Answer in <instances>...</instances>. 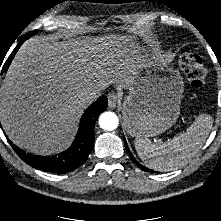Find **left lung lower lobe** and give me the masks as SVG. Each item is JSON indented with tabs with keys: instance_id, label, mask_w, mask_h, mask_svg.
Segmentation results:
<instances>
[{
	"instance_id": "1",
	"label": "left lung lower lobe",
	"mask_w": 221,
	"mask_h": 221,
	"mask_svg": "<svg viewBox=\"0 0 221 221\" xmlns=\"http://www.w3.org/2000/svg\"><path fill=\"white\" fill-rule=\"evenodd\" d=\"M124 142H125V148H126L127 152H128L129 155L131 156V159L135 162V159L133 158V156H132V154H131L129 148L127 147L126 141H124ZM136 164L139 166L138 162H136ZM142 169H143V170H146V168H143V167H142Z\"/></svg>"
}]
</instances>
